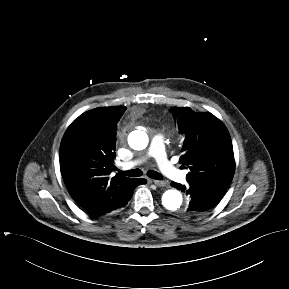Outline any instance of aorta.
Segmentation results:
<instances>
[{
	"mask_svg": "<svg viewBox=\"0 0 289 289\" xmlns=\"http://www.w3.org/2000/svg\"><path fill=\"white\" fill-rule=\"evenodd\" d=\"M128 143L134 150H143L148 145V136L143 131H135L129 136ZM182 203V194L176 189L167 190L162 196V205L167 210H180Z\"/></svg>",
	"mask_w": 289,
	"mask_h": 289,
	"instance_id": "aorta-1",
	"label": "aorta"
}]
</instances>
